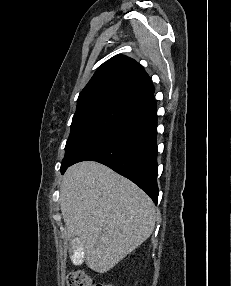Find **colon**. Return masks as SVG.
I'll list each match as a JSON object with an SVG mask.
<instances>
[{
  "label": "colon",
  "instance_id": "5ec220e1",
  "mask_svg": "<svg viewBox=\"0 0 231 286\" xmlns=\"http://www.w3.org/2000/svg\"><path fill=\"white\" fill-rule=\"evenodd\" d=\"M67 286H113L96 281L82 270H76L67 276Z\"/></svg>",
  "mask_w": 231,
  "mask_h": 286
}]
</instances>
